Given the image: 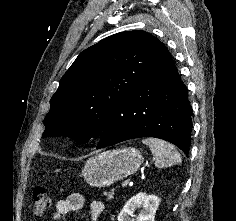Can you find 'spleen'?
Instances as JSON below:
<instances>
[{"label":"spleen","mask_w":236,"mask_h":221,"mask_svg":"<svg viewBox=\"0 0 236 221\" xmlns=\"http://www.w3.org/2000/svg\"><path fill=\"white\" fill-rule=\"evenodd\" d=\"M142 143L148 145L152 154L156 157V167L164 168L181 164V155L171 143L152 137L143 139Z\"/></svg>","instance_id":"obj_1"}]
</instances>
